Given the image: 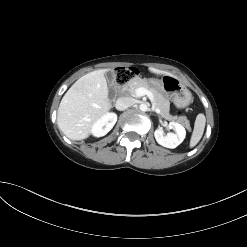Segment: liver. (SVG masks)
<instances>
[{"label": "liver", "instance_id": "6515ba94", "mask_svg": "<svg viewBox=\"0 0 247 247\" xmlns=\"http://www.w3.org/2000/svg\"><path fill=\"white\" fill-rule=\"evenodd\" d=\"M108 70L100 69L82 76L63 96L57 111V123L69 139H86L92 124L111 109L105 78ZM149 70L155 74L173 76L155 68Z\"/></svg>", "mask_w": 247, "mask_h": 247}]
</instances>
